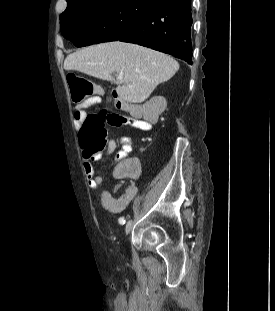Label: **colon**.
I'll return each instance as SVG.
<instances>
[{
    "instance_id": "colon-1",
    "label": "colon",
    "mask_w": 275,
    "mask_h": 311,
    "mask_svg": "<svg viewBox=\"0 0 275 311\" xmlns=\"http://www.w3.org/2000/svg\"><path fill=\"white\" fill-rule=\"evenodd\" d=\"M67 80L74 104L101 103V98L95 97L98 90L91 81L75 73H69ZM114 98L120 99L116 94H114ZM123 121L124 116L112 110H104L100 114H87L80 131L84 147L90 152L108 150L111 145L108 139L107 125L121 126Z\"/></svg>"
}]
</instances>
